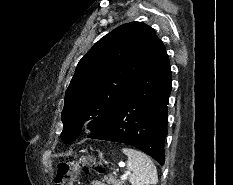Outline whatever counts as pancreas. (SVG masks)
Returning <instances> with one entry per match:
<instances>
[{
    "mask_svg": "<svg viewBox=\"0 0 233 185\" xmlns=\"http://www.w3.org/2000/svg\"><path fill=\"white\" fill-rule=\"evenodd\" d=\"M102 181L106 182L107 185H125L124 181L116 180L112 175H110V176H104V178L102 179Z\"/></svg>",
    "mask_w": 233,
    "mask_h": 185,
    "instance_id": "obj_1",
    "label": "pancreas"
}]
</instances>
